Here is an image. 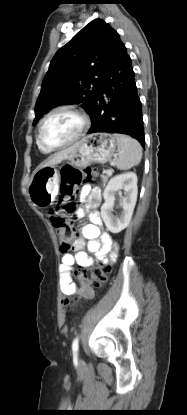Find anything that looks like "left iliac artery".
Masks as SVG:
<instances>
[{
    "mask_svg": "<svg viewBox=\"0 0 187 415\" xmlns=\"http://www.w3.org/2000/svg\"><path fill=\"white\" fill-rule=\"evenodd\" d=\"M78 343H79V338L76 337L73 340V343H72V350H73V353H75V354H77V352H78Z\"/></svg>",
    "mask_w": 187,
    "mask_h": 415,
    "instance_id": "1",
    "label": "left iliac artery"
}]
</instances>
